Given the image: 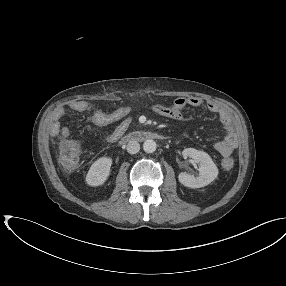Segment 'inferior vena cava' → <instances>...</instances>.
I'll list each match as a JSON object with an SVG mask.
<instances>
[{
  "label": "inferior vena cava",
  "mask_w": 286,
  "mask_h": 286,
  "mask_svg": "<svg viewBox=\"0 0 286 286\" xmlns=\"http://www.w3.org/2000/svg\"><path fill=\"white\" fill-rule=\"evenodd\" d=\"M140 150V144L135 140H130L127 144V152L129 154H136Z\"/></svg>",
  "instance_id": "inferior-vena-cava-1"
}]
</instances>
